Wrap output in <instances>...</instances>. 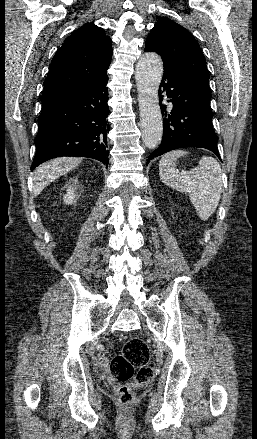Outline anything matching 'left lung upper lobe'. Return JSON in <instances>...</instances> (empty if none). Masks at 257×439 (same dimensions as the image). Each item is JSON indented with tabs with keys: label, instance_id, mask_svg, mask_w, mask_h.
Wrapping results in <instances>:
<instances>
[{
	"label": "left lung upper lobe",
	"instance_id": "5c2ea615",
	"mask_svg": "<svg viewBox=\"0 0 257 439\" xmlns=\"http://www.w3.org/2000/svg\"><path fill=\"white\" fill-rule=\"evenodd\" d=\"M145 51L157 52L164 71L183 78L211 98L205 57L196 39L184 27L167 17L159 18L145 42Z\"/></svg>",
	"mask_w": 257,
	"mask_h": 439
}]
</instances>
